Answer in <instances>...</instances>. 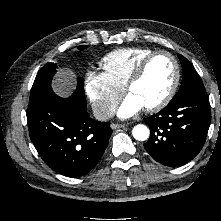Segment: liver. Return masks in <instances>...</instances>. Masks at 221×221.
I'll list each match as a JSON object with an SVG mask.
<instances>
[{
	"label": "liver",
	"mask_w": 221,
	"mask_h": 221,
	"mask_svg": "<svg viewBox=\"0 0 221 221\" xmlns=\"http://www.w3.org/2000/svg\"><path fill=\"white\" fill-rule=\"evenodd\" d=\"M75 76V73L68 68L59 69L52 83V89L59 96H69L75 88Z\"/></svg>",
	"instance_id": "1"
}]
</instances>
